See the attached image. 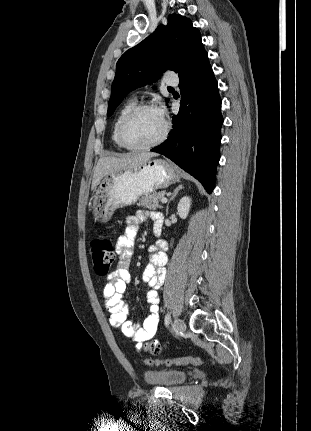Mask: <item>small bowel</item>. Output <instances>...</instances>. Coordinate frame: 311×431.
I'll return each mask as SVG.
<instances>
[{
	"label": "small bowel",
	"instance_id": "small-bowel-1",
	"mask_svg": "<svg viewBox=\"0 0 311 431\" xmlns=\"http://www.w3.org/2000/svg\"><path fill=\"white\" fill-rule=\"evenodd\" d=\"M151 221L155 236L161 235L164 217L160 212L141 210L125 221L124 233L116 243L119 256L117 268L108 276L103 288L102 299L104 307L110 314V324L119 329L124 336L132 338L137 343L152 339L158 330L159 294L158 290L164 280V266L167 263V242L158 239L151 247L149 263L143 272V281L149 286L146 299L149 304V315L144 321L135 325L129 318L130 303L124 299L127 284L131 280L129 262L133 254L135 239L141 224Z\"/></svg>",
	"mask_w": 311,
	"mask_h": 431
}]
</instances>
